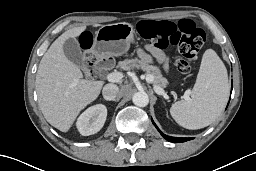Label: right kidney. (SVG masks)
Here are the masks:
<instances>
[{"instance_id": "ca27d5eb", "label": "right kidney", "mask_w": 256, "mask_h": 171, "mask_svg": "<svg viewBox=\"0 0 256 171\" xmlns=\"http://www.w3.org/2000/svg\"><path fill=\"white\" fill-rule=\"evenodd\" d=\"M107 117V108L97 104L86 109L77 119L76 126L83 136L97 133L104 125Z\"/></svg>"}]
</instances>
